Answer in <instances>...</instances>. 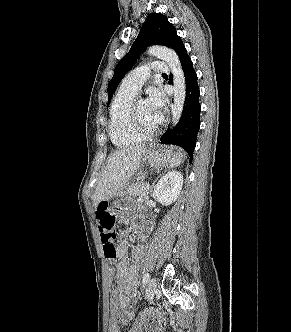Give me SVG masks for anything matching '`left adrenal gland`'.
I'll return each mask as SVG.
<instances>
[{"label":"left adrenal gland","mask_w":291,"mask_h":332,"mask_svg":"<svg viewBox=\"0 0 291 332\" xmlns=\"http://www.w3.org/2000/svg\"><path fill=\"white\" fill-rule=\"evenodd\" d=\"M155 181L152 183L151 187H150V193L152 192V189L154 187ZM151 195V194H150Z\"/></svg>","instance_id":"obj_1"}]
</instances>
